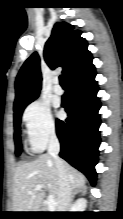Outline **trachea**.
<instances>
[{
  "label": "trachea",
  "instance_id": "1",
  "mask_svg": "<svg viewBox=\"0 0 123 219\" xmlns=\"http://www.w3.org/2000/svg\"><path fill=\"white\" fill-rule=\"evenodd\" d=\"M59 80H60V84H61V85H66V84H67V82H66V79H65V76H64V75H61V76L59 77Z\"/></svg>",
  "mask_w": 123,
  "mask_h": 219
}]
</instances>
